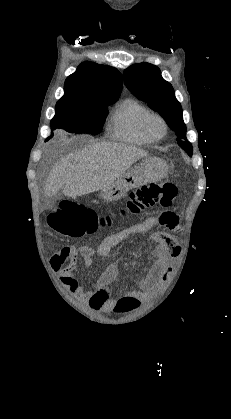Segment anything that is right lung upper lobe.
Wrapping results in <instances>:
<instances>
[{
	"label": "right lung upper lobe",
	"instance_id": "1",
	"mask_svg": "<svg viewBox=\"0 0 231 419\" xmlns=\"http://www.w3.org/2000/svg\"><path fill=\"white\" fill-rule=\"evenodd\" d=\"M122 81V75L116 68L86 61L67 77L65 94L61 99H118L123 87Z\"/></svg>",
	"mask_w": 231,
	"mask_h": 419
}]
</instances>
